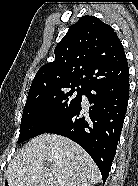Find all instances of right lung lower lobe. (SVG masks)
Masks as SVG:
<instances>
[{"label": "right lung lower lobe", "instance_id": "98d812e1", "mask_svg": "<svg viewBox=\"0 0 138 186\" xmlns=\"http://www.w3.org/2000/svg\"><path fill=\"white\" fill-rule=\"evenodd\" d=\"M84 95L92 106L86 115L81 102L45 133L68 137L83 147L108 178L127 110L129 78L116 84L93 85Z\"/></svg>", "mask_w": 138, "mask_h": 186}]
</instances>
